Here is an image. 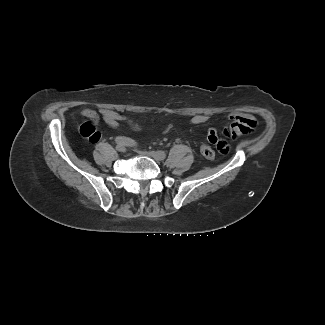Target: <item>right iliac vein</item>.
I'll list each match as a JSON object with an SVG mask.
<instances>
[{
    "instance_id": "63e3f726",
    "label": "right iliac vein",
    "mask_w": 325,
    "mask_h": 325,
    "mask_svg": "<svg viewBox=\"0 0 325 325\" xmlns=\"http://www.w3.org/2000/svg\"><path fill=\"white\" fill-rule=\"evenodd\" d=\"M116 149L119 151V152H125L126 151V148L124 146H116Z\"/></svg>"
}]
</instances>
